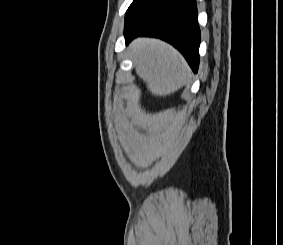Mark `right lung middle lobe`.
Here are the masks:
<instances>
[{
	"label": "right lung middle lobe",
	"mask_w": 283,
	"mask_h": 245,
	"mask_svg": "<svg viewBox=\"0 0 283 245\" xmlns=\"http://www.w3.org/2000/svg\"><path fill=\"white\" fill-rule=\"evenodd\" d=\"M153 0H134L130 7L128 8L125 16V21L127 22L132 17H134L141 9L147 6Z\"/></svg>",
	"instance_id": "obj_1"
}]
</instances>
